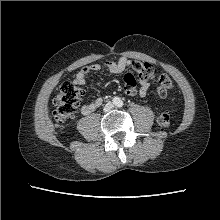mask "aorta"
Wrapping results in <instances>:
<instances>
[{
	"label": "aorta",
	"instance_id": "aorta-1",
	"mask_svg": "<svg viewBox=\"0 0 220 220\" xmlns=\"http://www.w3.org/2000/svg\"><path fill=\"white\" fill-rule=\"evenodd\" d=\"M121 102H122V101H121L120 99H117V100L115 101V105H116V106H119Z\"/></svg>",
	"mask_w": 220,
	"mask_h": 220
}]
</instances>
